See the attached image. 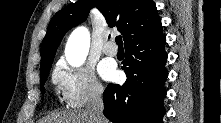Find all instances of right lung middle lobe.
<instances>
[{"mask_svg": "<svg viewBox=\"0 0 221 123\" xmlns=\"http://www.w3.org/2000/svg\"><path fill=\"white\" fill-rule=\"evenodd\" d=\"M51 65H52V62L48 66H46L44 69L40 70V83H41L42 93H45L44 84L47 80Z\"/></svg>", "mask_w": 221, "mask_h": 123, "instance_id": "dd1d6c3e", "label": "right lung middle lobe"}]
</instances>
